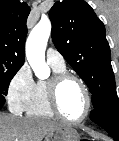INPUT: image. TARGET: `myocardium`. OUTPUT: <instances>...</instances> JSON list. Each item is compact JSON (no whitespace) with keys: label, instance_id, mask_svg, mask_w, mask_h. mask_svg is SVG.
Here are the masks:
<instances>
[{"label":"myocardium","instance_id":"obj_1","mask_svg":"<svg viewBox=\"0 0 119 141\" xmlns=\"http://www.w3.org/2000/svg\"><path fill=\"white\" fill-rule=\"evenodd\" d=\"M67 80H74L76 81L82 88L84 95H85V99H86V108L84 113L82 114V116H80L79 118H68L66 117L59 106V102H58V95H59V89L62 86V84L64 82H66ZM47 100H48V104L49 107L51 109V111L53 112V114L55 116H57L58 118L67 121V122H71V123H80L82 121H84L88 115L91 112V107H92V99H91V95H90V91L86 85V83L77 75L72 74L70 72H60V73H55L47 82Z\"/></svg>","mask_w":119,"mask_h":141}]
</instances>
